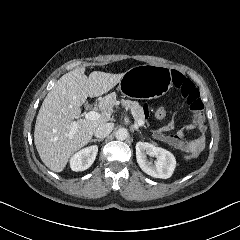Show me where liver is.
Here are the masks:
<instances>
[{"mask_svg": "<svg viewBox=\"0 0 240 240\" xmlns=\"http://www.w3.org/2000/svg\"><path fill=\"white\" fill-rule=\"evenodd\" d=\"M84 72L85 68H76L64 74L45 97L37 115L34 143L43 163L54 172L63 171L70 156L90 142L99 125L110 120L114 103L107 96L103 98L98 106L101 117L95 121L78 119L81 105L88 97L107 93L124 75L93 71L87 77ZM74 125L76 132L69 136Z\"/></svg>", "mask_w": 240, "mask_h": 240, "instance_id": "liver-1", "label": "liver"}]
</instances>
